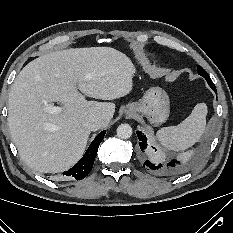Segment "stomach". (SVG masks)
<instances>
[{"mask_svg":"<svg viewBox=\"0 0 233 233\" xmlns=\"http://www.w3.org/2000/svg\"><path fill=\"white\" fill-rule=\"evenodd\" d=\"M169 104L166 91L159 86H151L139 102L127 105L126 114L130 115L131 108L135 107L136 112L145 115L152 124L159 125L169 116Z\"/></svg>","mask_w":233,"mask_h":233,"instance_id":"stomach-1","label":"stomach"}]
</instances>
